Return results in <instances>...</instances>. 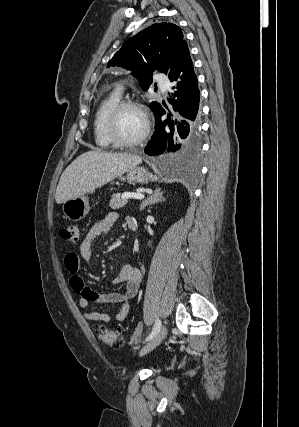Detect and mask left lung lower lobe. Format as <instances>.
I'll list each match as a JSON object with an SVG mask.
<instances>
[{
  "label": "left lung lower lobe",
  "instance_id": "left-lung-lower-lobe-1",
  "mask_svg": "<svg viewBox=\"0 0 299 427\" xmlns=\"http://www.w3.org/2000/svg\"><path fill=\"white\" fill-rule=\"evenodd\" d=\"M173 82V92L168 101L177 117L169 111L162 120L165 110L158 105L153 110L156 125L155 133L145 148L148 155H161L166 162H191L200 153V91L194 72L188 45L182 41L179 50L168 71Z\"/></svg>",
  "mask_w": 299,
  "mask_h": 427
}]
</instances>
